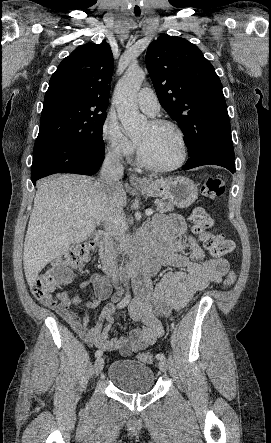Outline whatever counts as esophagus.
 <instances>
[{
    "instance_id": "1",
    "label": "esophagus",
    "mask_w": 271,
    "mask_h": 443,
    "mask_svg": "<svg viewBox=\"0 0 271 443\" xmlns=\"http://www.w3.org/2000/svg\"><path fill=\"white\" fill-rule=\"evenodd\" d=\"M129 182H130V184H132V185H137V184H144V183H146L145 180L139 178L138 175H136L135 173H132V174L130 175Z\"/></svg>"
}]
</instances>
